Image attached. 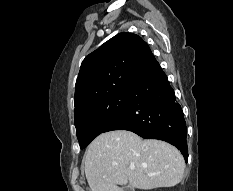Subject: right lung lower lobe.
<instances>
[{"label":"right lung lower lobe","mask_w":233,"mask_h":191,"mask_svg":"<svg viewBox=\"0 0 233 191\" xmlns=\"http://www.w3.org/2000/svg\"><path fill=\"white\" fill-rule=\"evenodd\" d=\"M128 96L125 110L103 132L128 130L142 138L166 141L177 147L187 161V130L183 111L154 56L129 89Z\"/></svg>","instance_id":"98d812e1"}]
</instances>
